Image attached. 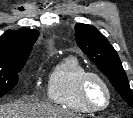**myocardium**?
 <instances>
[{
  "label": "myocardium",
  "instance_id": "obj_1",
  "mask_svg": "<svg viewBox=\"0 0 133 118\" xmlns=\"http://www.w3.org/2000/svg\"><path fill=\"white\" fill-rule=\"evenodd\" d=\"M92 80H97L105 89L106 91V102L103 106H95L92 101L90 100L89 97V84ZM80 96L81 99L83 101V103L86 105V107L91 111V112H101L106 110L112 101V90L111 87L109 85V83L107 82V80L100 74L96 73V72H86L81 80H80Z\"/></svg>",
  "mask_w": 133,
  "mask_h": 118
}]
</instances>
